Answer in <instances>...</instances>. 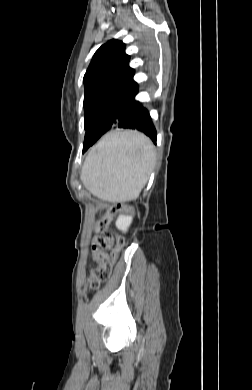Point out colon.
Here are the masks:
<instances>
[{"instance_id":"1","label":"colon","mask_w":252,"mask_h":390,"mask_svg":"<svg viewBox=\"0 0 252 390\" xmlns=\"http://www.w3.org/2000/svg\"><path fill=\"white\" fill-rule=\"evenodd\" d=\"M121 211L131 213L129 207L124 204H116L110 206L98 222L99 235L94 238L92 243L93 257H96L98 266L91 272L89 281L91 289H97L102 282L109 278L112 265L123 247V237L118 233L108 231L114 216ZM106 252H109L110 255H107Z\"/></svg>"}]
</instances>
